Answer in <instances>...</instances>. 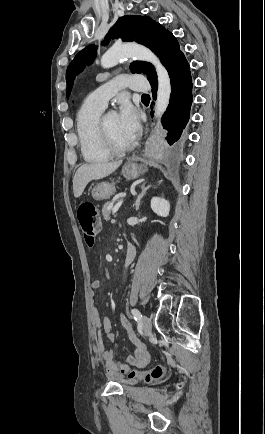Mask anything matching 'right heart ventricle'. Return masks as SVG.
Here are the masks:
<instances>
[{"label": "right heart ventricle", "mask_w": 265, "mask_h": 434, "mask_svg": "<svg viewBox=\"0 0 265 434\" xmlns=\"http://www.w3.org/2000/svg\"><path fill=\"white\" fill-rule=\"evenodd\" d=\"M105 106L89 103L86 98L76 112V130L80 152L88 164L98 165L111 158L106 150L101 130V119Z\"/></svg>", "instance_id": "right-heart-ventricle-1"}]
</instances>
